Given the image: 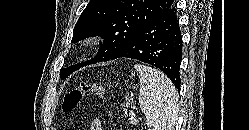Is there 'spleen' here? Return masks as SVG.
I'll list each match as a JSON object with an SVG mask.
<instances>
[{"instance_id":"spleen-1","label":"spleen","mask_w":249,"mask_h":130,"mask_svg":"<svg viewBox=\"0 0 249 130\" xmlns=\"http://www.w3.org/2000/svg\"><path fill=\"white\" fill-rule=\"evenodd\" d=\"M139 73V104L148 130H174L179 114V97L171 80L160 70L136 64Z\"/></svg>"}]
</instances>
